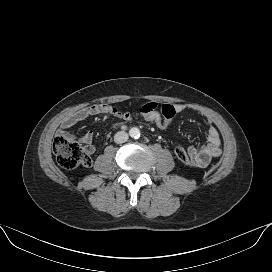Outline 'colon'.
<instances>
[{
	"label": "colon",
	"mask_w": 272,
	"mask_h": 272,
	"mask_svg": "<svg viewBox=\"0 0 272 272\" xmlns=\"http://www.w3.org/2000/svg\"><path fill=\"white\" fill-rule=\"evenodd\" d=\"M176 113L175 106L171 104H164L158 108L142 106L131 112L133 119L147 121L161 130L170 127ZM53 150L58 164L64 169L72 170L78 166L88 167L91 165V158L87 150L68 137L62 135L56 137ZM174 153L184 165L196 167V163L182 146L175 147Z\"/></svg>",
	"instance_id": "obj_1"
}]
</instances>
